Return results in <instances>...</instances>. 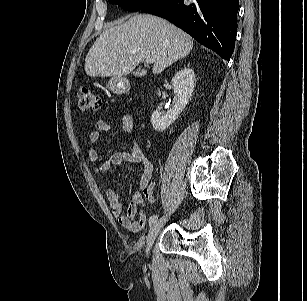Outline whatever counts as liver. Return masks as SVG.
Listing matches in <instances>:
<instances>
[{
    "mask_svg": "<svg viewBox=\"0 0 307 301\" xmlns=\"http://www.w3.org/2000/svg\"><path fill=\"white\" fill-rule=\"evenodd\" d=\"M192 48V38L168 21L135 15L103 31L86 56L85 72L90 77H122L151 57L155 60L152 71L159 74Z\"/></svg>",
    "mask_w": 307,
    "mask_h": 301,
    "instance_id": "liver-1",
    "label": "liver"
}]
</instances>
